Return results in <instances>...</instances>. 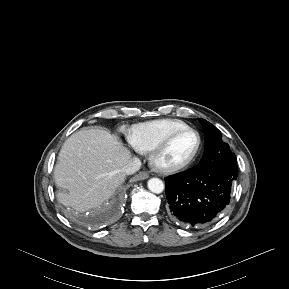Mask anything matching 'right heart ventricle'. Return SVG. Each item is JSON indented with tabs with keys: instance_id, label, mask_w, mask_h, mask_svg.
<instances>
[{
	"instance_id": "right-heart-ventricle-1",
	"label": "right heart ventricle",
	"mask_w": 289,
	"mask_h": 289,
	"mask_svg": "<svg viewBox=\"0 0 289 289\" xmlns=\"http://www.w3.org/2000/svg\"><path fill=\"white\" fill-rule=\"evenodd\" d=\"M189 125L177 119H158L137 125L131 136V145L140 152L152 151L167 135Z\"/></svg>"
}]
</instances>
